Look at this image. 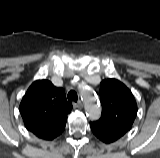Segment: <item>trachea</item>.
Segmentation results:
<instances>
[{
	"label": "trachea",
	"instance_id": "1",
	"mask_svg": "<svg viewBox=\"0 0 160 158\" xmlns=\"http://www.w3.org/2000/svg\"><path fill=\"white\" fill-rule=\"evenodd\" d=\"M68 100L77 102L78 96L77 93L71 90L67 95Z\"/></svg>",
	"mask_w": 160,
	"mask_h": 158
}]
</instances>
